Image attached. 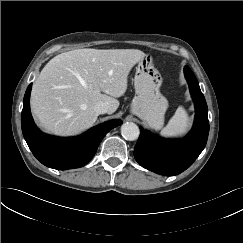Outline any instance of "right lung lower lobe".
Instances as JSON below:
<instances>
[{
	"label": "right lung lower lobe",
	"instance_id": "obj_1",
	"mask_svg": "<svg viewBox=\"0 0 243 243\" xmlns=\"http://www.w3.org/2000/svg\"><path fill=\"white\" fill-rule=\"evenodd\" d=\"M31 86H28L23 100L22 132L34 156L47 167L67 170L84 166L93 158L104 136L122 124L121 120H112L75 138L63 139L45 135L36 127L30 113Z\"/></svg>",
	"mask_w": 243,
	"mask_h": 243
}]
</instances>
